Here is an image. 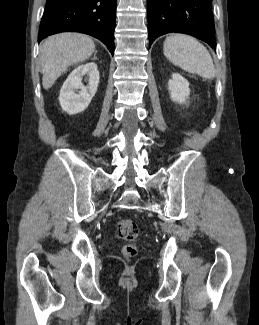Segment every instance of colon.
Wrapping results in <instances>:
<instances>
[{
  "label": "colon",
  "instance_id": "1",
  "mask_svg": "<svg viewBox=\"0 0 259 325\" xmlns=\"http://www.w3.org/2000/svg\"><path fill=\"white\" fill-rule=\"evenodd\" d=\"M139 234L137 224L131 219H122L117 223V236L129 243L123 245L121 252L124 258H134L138 253V247L133 242Z\"/></svg>",
  "mask_w": 259,
  "mask_h": 325
}]
</instances>
